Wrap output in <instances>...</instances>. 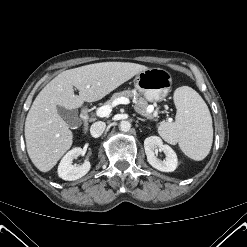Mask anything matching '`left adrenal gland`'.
<instances>
[{
    "instance_id": "1",
    "label": "left adrenal gland",
    "mask_w": 247,
    "mask_h": 247,
    "mask_svg": "<svg viewBox=\"0 0 247 247\" xmlns=\"http://www.w3.org/2000/svg\"><path fill=\"white\" fill-rule=\"evenodd\" d=\"M138 120H141V121H145L146 119H142V118H137Z\"/></svg>"
}]
</instances>
